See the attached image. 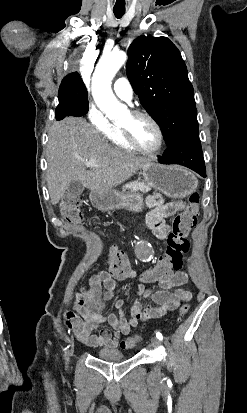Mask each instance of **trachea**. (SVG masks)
I'll list each match as a JSON object with an SVG mask.
<instances>
[{
  "mask_svg": "<svg viewBox=\"0 0 247 413\" xmlns=\"http://www.w3.org/2000/svg\"><path fill=\"white\" fill-rule=\"evenodd\" d=\"M114 14L117 18H121L125 14V11H114Z\"/></svg>",
  "mask_w": 247,
  "mask_h": 413,
  "instance_id": "trachea-1",
  "label": "trachea"
}]
</instances>
